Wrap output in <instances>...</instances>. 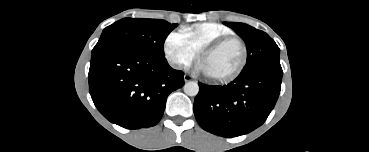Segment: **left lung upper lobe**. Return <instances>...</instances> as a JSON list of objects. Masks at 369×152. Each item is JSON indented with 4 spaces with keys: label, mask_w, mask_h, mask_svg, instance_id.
<instances>
[{
    "label": "left lung upper lobe",
    "mask_w": 369,
    "mask_h": 152,
    "mask_svg": "<svg viewBox=\"0 0 369 152\" xmlns=\"http://www.w3.org/2000/svg\"><path fill=\"white\" fill-rule=\"evenodd\" d=\"M224 24L235 30L247 46V63L239 76H249L264 70L282 71L279 60L280 49L265 32L243 23L224 22Z\"/></svg>",
    "instance_id": "obj_1"
}]
</instances>
